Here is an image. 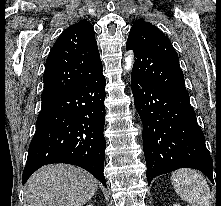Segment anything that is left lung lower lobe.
<instances>
[{
	"mask_svg": "<svg viewBox=\"0 0 221 206\" xmlns=\"http://www.w3.org/2000/svg\"><path fill=\"white\" fill-rule=\"evenodd\" d=\"M135 107L143 122L147 180L179 168L202 171L213 182V162L189 96L131 77Z\"/></svg>",
	"mask_w": 221,
	"mask_h": 206,
	"instance_id": "left-lung-lower-lobe-1",
	"label": "left lung lower lobe"
}]
</instances>
